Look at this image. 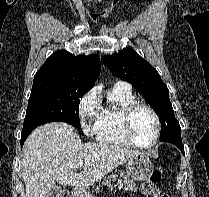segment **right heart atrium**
Returning a JSON list of instances; mask_svg holds the SVG:
<instances>
[{"mask_svg":"<svg viewBox=\"0 0 209 197\" xmlns=\"http://www.w3.org/2000/svg\"><path fill=\"white\" fill-rule=\"evenodd\" d=\"M100 99L95 89L88 91L79 101L78 116L84 131L94 133V126L100 114Z\"/></svg>","mask_w":209,"mask_h":197,"instance_id":"d8ad5b80","label":"right heart atrium"}]
</instances>
